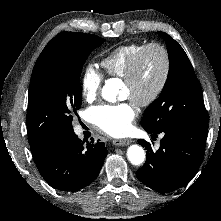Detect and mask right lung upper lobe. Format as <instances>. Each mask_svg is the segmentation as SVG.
Wrapping results in <instances>:
<instances>
[{"label":"right lung upper lobe","mask_w":221,"mask_h":221,"mask_svg":"<svg viewBox=\"0 0 221 221\" xmlns=\"http://www.w3.org/2000/svg\"><path fill=\"white\" fill-rule=\"evenodd\" d=\"M64 33H68V32H62L58 35H62ZM29 134V143H30V148H31V152L32 155L34 157V160H38L43 152L49 147V145L56 139L58 138L57 135H52L48 138H46L45 140H43L41 143L39 144H34V135L31 131H28Z\"/></svg>","instance_id":"obj_1"}]
</instances>
